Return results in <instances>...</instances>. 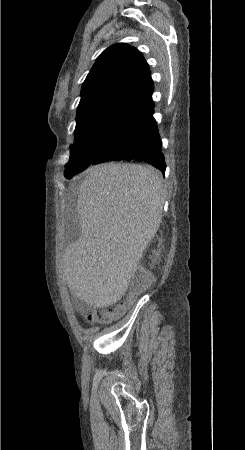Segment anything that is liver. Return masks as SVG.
<instances>
[{
  "mask_svg": "<svg viewBox=\"0 0 245 450\" xmlns=\"http://www.w3.org/2000/svg\"><path fill=\"white\" fill-rule=\"evenodd\" d=\"M166 190L152 166H92L79 185L81 236L62 259L70 291L95 307L126 293L144 250L162 219Z\"/></svg>",
  "mask_w": 245,
  "mask_h": 450,
  "instance_id": "liver-1",
  "label": "liver"
}]
</instances>
